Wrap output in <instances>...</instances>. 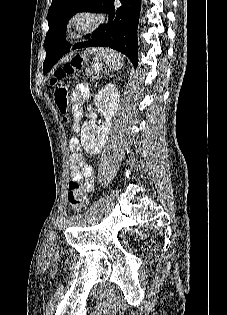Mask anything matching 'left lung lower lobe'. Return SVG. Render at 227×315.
Masks as SVG:
<instances>
[{"label": "left lung lower lobe", "mask_w": 227, "mask_h": 315, "mask_svg": "<svg viewBox=\"0 0 227 315\" xmlns=\"http://www.w3.org/2000/svg\"><path fill=\"white\" fill-rule=\"evenodd\" d=\"M115 0H109L103 12L109 15V22L93 32L92 39L74 45V49L86 47H110L125 54L137 67L138 45L137 24L141 0H120L121 6L115 8ZM132 10V22L128 21V6ZM46 58L43 70L46 74L53 65L70 50V45L62 39H52L45 44Z\"/></svg>", "instance_id": "obj_1"}]
</instances>
